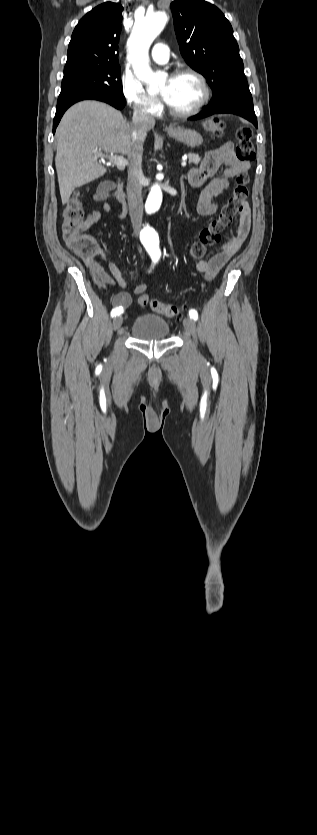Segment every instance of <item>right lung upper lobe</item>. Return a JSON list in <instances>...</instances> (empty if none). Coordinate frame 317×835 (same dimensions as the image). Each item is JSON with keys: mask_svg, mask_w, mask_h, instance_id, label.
Wrapping results in <instances>:
<instances>
[{"mask_svg": "<svg viewBox=\"0 0 317 835\" xmlns=\"http://www.w3.org/2000/svg\"><path fill=\"white\" fill-rule=\"evenodd\" d=\"M122 10L120 4L106 2L87 13L73 31L66 64H118Z\"/></svg>", "mask_w": 317, "mask_h": 835, "instance_id": "1", "label": "right lung upper lobe"}]
</instances>
